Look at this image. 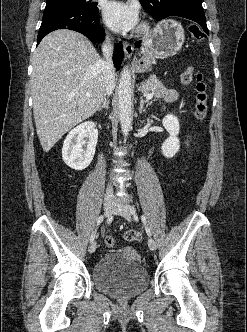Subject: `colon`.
<instances>
[{"label":"colon","mask_w":247,"mask_h":332,"mask_svg":"<svg viewBox=\"0 0 247 332\" xmlns=\"http://www.w3.org/2000/svg\"><path fill=\"white\" fill-rule=\"evenodd\" d=\"M189 32L194 39L195 42L201 43L206 38V33L198 26L191 25L189 27ZM192 79V71L186 70L182 74V81L184 83H188ZM195 116L199 120H203L207 114V103H208V92H207V84L203 78L201 73H197L195 76ZM124 237L127 241H139L142 238L140 232L135 230H128L125 232ZM105 244L109 248H113L115 246V240L113 237L108 236L105 239Z\"/></svg>","instance_id":"colon-1"}]
</instances>
